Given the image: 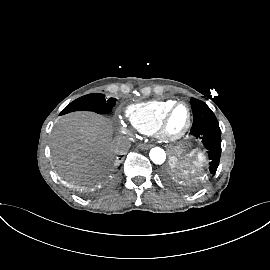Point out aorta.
<instances>
[{
	"label": "aorta",
	"mask_w": 270,
	"mask_h": 270,
	"mask_svg": "<svg viewBox=\"0 0 270 270\" xmlns=\"http://www.w3.org/2000/svg\"><path fill=\"white\" fill-rule=\"evenodd\" d=\"M150 159L154 164L161 165L166 160L165 151L160 147H154L149 153Z\"/></svg>",
	"instance_id": "aorta-1"
}]
</instances>
